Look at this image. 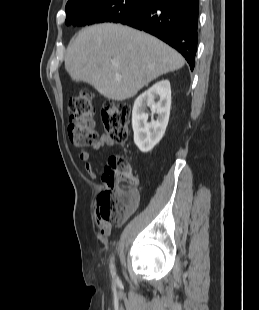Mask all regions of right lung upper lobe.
<instances>
[{
    "label": "right lung upper lobe",
    "mask_w": 259,
    "mask_h": 310,
    "mask_svg": "<svg viewBox=\"0 0 259 310\" xmlns=\"http://www.w3.org/2000/svg\"><path fill=\"white\" fill-rule=\"evenodd\" d=\"M98 1H101V0H69L66 4V9L88 5V4L98 2Z\"/></svg>",
    "instance_id": "right-lung-upper-lobe-1"
}]
</instances>
